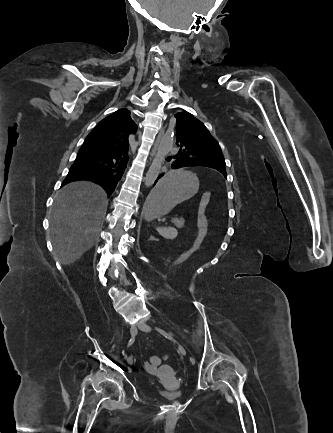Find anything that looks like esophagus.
Instances as JSON below:
<instances>
[{"label":"esophagus","instance_id":"1","mask_svg":"<svg viewBox=\"0 0 333 433\" xmlns=\"http://www.w3.org/2000/svg\"><path fill=\"white\" fill-rule=\"evenodd\" d=\"M160 137H161V133L158 134V136H157V138H156V141H155V143H154V145H153V147H152V152H151V157H150V159H152V158L155 156V153H156V151H157V149H158V146H159Z\"/></svg>","mask_w":333,"mask_h":433}]
</instances>
